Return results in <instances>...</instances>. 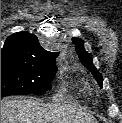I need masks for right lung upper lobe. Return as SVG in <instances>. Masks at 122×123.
Here are the masks:
<instances>
[{"label":"right lung upper lobe","mask_w":122,"mask_h":123,"mask_svg":"<svg viewBox=\"0 0 122 123\" xmlns=\"http://www.w3.org/2000/svg\"><path fill=\"white\" fill-rule=\"evenodd\" d=\"M58 54V52L46 51L34 34L25 31L9 36L1 49V59H19L39 63L55 64Z\"/></svg>","instance_id":"obj_1"}]
</instances>
